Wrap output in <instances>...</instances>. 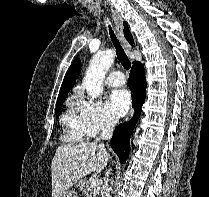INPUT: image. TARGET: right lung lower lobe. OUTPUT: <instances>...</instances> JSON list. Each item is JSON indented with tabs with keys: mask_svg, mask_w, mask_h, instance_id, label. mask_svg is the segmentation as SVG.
<instances>
[{
	"mask_svg": "<svg viewBox=\"0 0 209 197\" xmlns=\"http://www.w3.org/2000/svg\"><path fill=\"white\" fill-rule=\"evenodd\" d=\"M128 86L133 92L132 104L136 111L130 122L120 124L114 131L111 146L123 163L129 156V138L135 128L146 96L145 70L140 62H135L130 72Z\"/></svg>",
	"mask_w": 209,
	"mask_h": 197,
	"instance_id": "obj_1",
	"label": "right lung lower lobe"
}]
</instances>
